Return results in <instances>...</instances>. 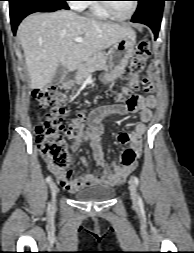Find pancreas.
<instances>
[{
    "mask_svg": "<svg viewBox=\"0 0 194 253\" xmlns=\"http://www.w3.org/2000/svg\"><path fill=\"white\" fill-rule=\"evenodd\" d=\"M106 62L107 57L105 52L99 51L91 55L84 63L79 66L75 77L76 83L80 85L84 83L85 79L90 73L106 69Z\"/></svg>",
    "mask_w": 194,
    "mask_h": 253,
    "instance_id": "1",
    "label": "pancreas"
}]
</instances>
